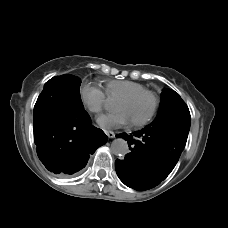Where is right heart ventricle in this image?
<instances>
[{
  "instance_id": "obj_1",
  "label": "right heart ventricle",
  "mask_w": 228,
  "mask_h": 228,
  "mask_svg": "<svg viewBox=\"0 0 228 228\" xmlns=\"http://www.w3.org/2000/svg\"><path fill=\"white\" fill-rule=\"evenodd\" d=\"M144 91H149L145 85L127 80L110 81L106 87L107 97L116 107H119L128 98L136 96Z\"/></svg>"
}]
</instances>
